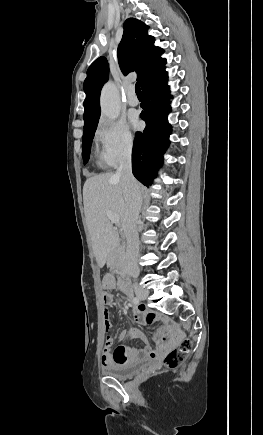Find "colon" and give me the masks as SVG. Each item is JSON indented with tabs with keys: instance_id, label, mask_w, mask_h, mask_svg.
<instances>
[{
	"instance_id": "obj_1",
	"label": "colon",
	"mask_w": 263,
	"mask_h": 435,
	"mask_svg": "<svg viewBox=\"0 0 263 435\" xmlns=\"http://www.w3.org/2000/svg\"><path fill=\"white\" fill-rule=\"evenodd\" d=\"M107 294L102 295L103 300L107 299ZM104 350H113L114 340L110 333L104 335ZM191 350V341L189 339L183 340L178 348L170 350L164 357L163 364L166 368H175L180 365L188 356Z\"/></svg>"
}]
</instances>
